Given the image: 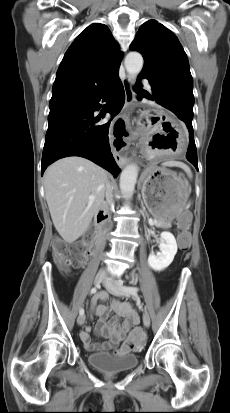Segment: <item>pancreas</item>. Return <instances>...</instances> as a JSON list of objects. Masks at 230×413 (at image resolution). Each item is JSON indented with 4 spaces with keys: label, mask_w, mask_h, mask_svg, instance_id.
Listing matches in <instances>:
<instances>
[{
    "label": "pancreas",
    "mask_w": 230,
    "mask_h": 413,
    "mask_svg": "<svg viewBox=\"0 0 230 413\" xmlns=\"http://www.w3.org/2000/svg\"><path fill=\"white\" fill-rule=\"evenodd\" d=\"M157 227H162V228H171L172 227V221L168 220V221H157L156 223Z\"/></svg>",
    "instance_id": "pancreas-1"
}]
</instances>
